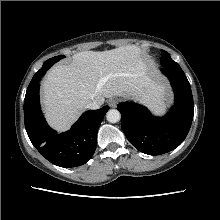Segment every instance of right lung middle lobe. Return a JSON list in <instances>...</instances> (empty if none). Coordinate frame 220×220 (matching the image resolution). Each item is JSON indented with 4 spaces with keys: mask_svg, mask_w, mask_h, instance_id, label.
<instances>
[{
    "mask_svg": "<svg viewBox=\"0 0 220 220\" xmlns=\"http://www.w3.org/2000/svg\"><path fill=\"white\" fill-rule=\"evenodd\" d=\"M65 56L63 55H59V56H56V57H53L51 58L50 60H55L56 62L59 61L60 59L64 58ZM32 86V82H30L29 86H28V89L31 88Z\"/></svg>",
    "mask_w": 220,
    "mask_h": 220,
    "instance_id": "right-lung-middle-lobe-1",
    "label": "right lung middle lobe"
}]
</instances>
